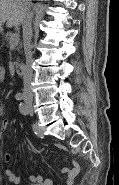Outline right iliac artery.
Here are the masks:
<instances>
[{
	"label": "right iliac artery",
	"instance_id": "1",
	"mask_svg": "<svg viewBox=\"0 0 119 185\" xmlns=\"http://www.w3.org/2000/svg\"><path fill=\"white\" fill-rule=\"evenodd\" d=\"M15 97L17 100H22L23 95L21 93H17Z\"/></svg>",
	"mask_w": 119,
	"mask_h": 185
}]
</instances>
